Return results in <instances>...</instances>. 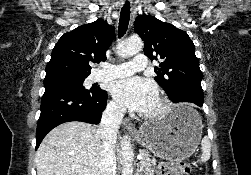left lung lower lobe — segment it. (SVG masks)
Wrapping results in <instances>:
<instances>
[{
    "mask_svg": "<svg viewBox=\"0 0 251 175\" xmlns=\"http://www.w3.org/2000/svg\"><path fill=\"white\" fill-rule=\"evenodd\" d=\"M167 95L173 103H186L178 113L181 118L193 120L201 116L202 109L200 108L204 102L203 92L188 87H178Z\"/></svg>",
    "mask_w": 251,
    "mask_h": 175,
    "instance_id": "0a47b994",
    "label": "left lung lower lobe"
}]
</instances>
